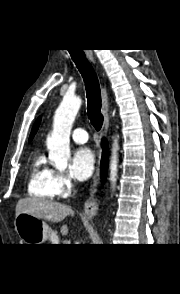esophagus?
Instances as JSON below:
<instances>
[{"label": "esophagus", "mask_w": 180, "mask_h": 294, "mask_svg": "<svg viewBox=\"0 0 180 294\" xmlns=\"http://www.w3.org/2000/svg\"><path fill=\"white\" fill-rule=\"evenodd\" d=\"M87 56L93 63H95V58L91 51H87ZM101 97H102V114L104 117L103 126L101 129V136H105L107 134L108 127H109V116H108L109 99H108L107 90L104 86H102L101 88ZM98 181H99V162L96 166V171L93 177V183L90 190V199L86 202L84 207V214L88 219L94 218V216L98 212V203L94 199V194L96 192Z\"/></svg>", "instance_id": "esophagus-1"}]
</instances>
